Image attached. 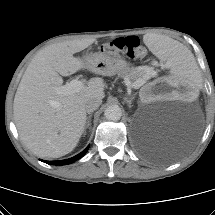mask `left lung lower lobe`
Returning <instances> with one entry per match:
<instances>
[{"instance_id":"obj_1","label":"left lung lower lobe","mask_w":215,"mask_h":215,"mask_svg":"<svg viewBox=\"0 0 215 215\" xmlns=\"http://www.w3.org/2000/svg\"><path fill=\"white\" fill-rule=\"evenodd\" d=\"M168 153H169V149L165 146H162V147H159L158 149L153 150L150 154L158 157H166L168 156ZM169 155L171 154L169 153Z\"/></svg>"}]
</instances>
